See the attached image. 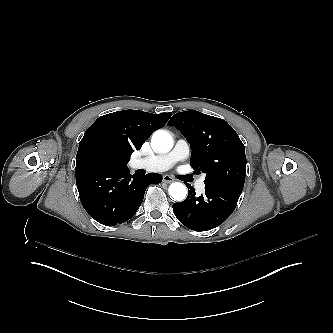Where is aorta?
Here are the masks:
<instances>
[{
  "mask_svg": "<svg viewBox=\"0 0 333 333\" xmlns=\"http://www.w3.org/2000/svg\"><path fill=\"white\" fill-rule=\"evenodd\" d=\"M152 147L159 153H167L173 147V139L171 135L165 130H156L153 133ZM168 193L176 200H183L186 196V186L180 182H173L168 187Z\"/></svg>",
  "mask_w": 333,
  "mask_h": 333,
  "instance_id": "1",
  "label": "aorta"
}]
</instances>
